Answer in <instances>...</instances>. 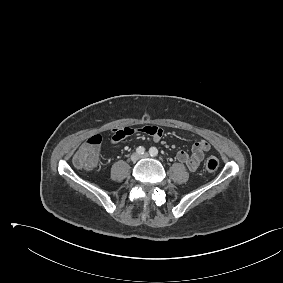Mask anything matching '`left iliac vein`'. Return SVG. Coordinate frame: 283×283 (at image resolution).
Wrapping results in <instances>:
<instances>
[{"mask_svg": "<svg viewBox=\"0 0 283 283\" xmlns=\"http://www.w3.org/2000/svg\"><path fill=\"white\" fill-rule=\"evenodd\" d=\"M148 156H149L148 153H143V154L140 156V158H147Z\"/></svg>", "mask_w": 283, "mask_h": 283, "instance_id": "left-iliac-vein-1", "label": "left iliac vein"}]
</instances>
